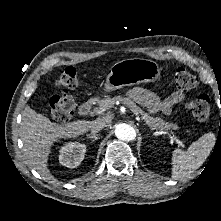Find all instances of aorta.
<instances>
[{
  "label": "aorta",
  "mask_w": 221,
  "mask_h": 221,
  "mask_svg": "<svg viewBox=\"0 0 221 221\" xmlns=\"http://www.w3.org/2000/svg\"><path fill=\"white\" fill-rule=\"evenodd\" d=\"M115 135L123 141H132L136 138V131L128 124L121 123L115 127Z\"/></svg>",
  "instance_id": "aorta-1"
}]
</instances>
